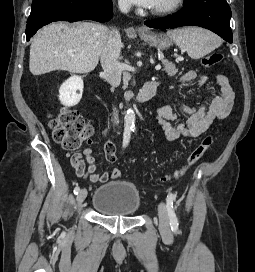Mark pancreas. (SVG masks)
<instances>
[{
	"label": "pancreas",
	"instance_id": "pancreas-1",
	"mask_svg": "<svg viewBox=\"0 0 255 272\" xmlns=\"http://www.w3.org/2000/svg\"><path fill=\"white\" fill-rule=\"evenodd\" d=\"M162 64L164 65L163 71H165L168 76L172 77L177 74L178 69L174 63L168 61L167 59H163Z\"/></svg>",
	"mask_w": 255,
	"mask_h": 272
}]
</instances>
